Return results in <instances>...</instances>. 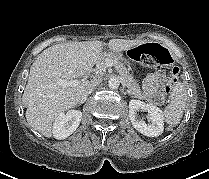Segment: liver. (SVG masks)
Segmentation results:
<instances>
[{"instance_id":"liver-1","label":"liver","mask_w":209,"mask_h":179,"mask_svg":"<svg viewBox=\"0 0 209 179\" xmlns=\"http://www.w3.org/2000/svg\"><path fill=\"white\" fill-rule=\"evenodd\" d=\"M144 43L139 40L111 39L108 48L126 51ZM101 41L67 42L45 49L30 68L22 100L27 105L29 125L45 137L52 136V124L64 111L78 106L90 81L76 86H61L59 80H74L86 75L98 62Z\"/></svg>"}]
</instances>
